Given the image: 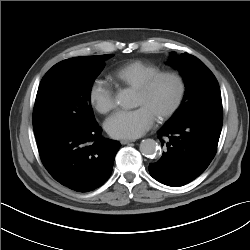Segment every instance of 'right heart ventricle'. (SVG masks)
Instances as JSON below:
<instances>
[{
  "label": "right heart ventricle",
  "mask_w": 250,
  "mask_h": 250,
  "mask_svg": "<svg viewBox=\"0 0 250 250\" xmlns=\"http://www.w3.org/2000/svg\"><path fill=\"white\" fill-rule=\"evenodd\" d=\"M159 71L160 68L153 63L134 60L116 68L111 78L117 85L136 89L143 81Z\"/></svg>",
  "instance_id": "e07e8e85"
}]
</instances>
